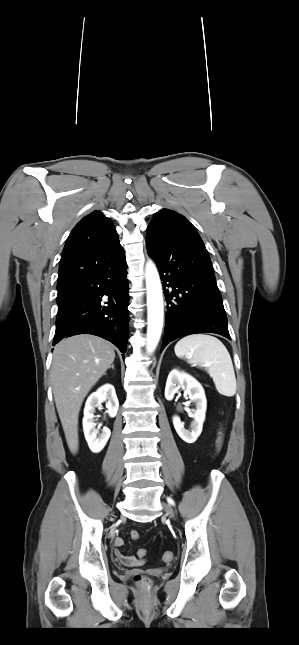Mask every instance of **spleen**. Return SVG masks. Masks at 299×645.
Segmentation results:
<instances>
[{
    "mask_svg": "<svg viewBox=\"0 0 299 645\" xmlns=\"http://www.w3.org/2000/svg\"><path fill=\"white\" fill-rule=\"evenodd\" d=\"M177 357L206 366L217 391L232 397L236 393V378L230 354L224 344L214 336L192 334L183 337L174 347Z\"/></svg>",
    "mask_w": 299,
    "mask_h": 645,
    "instance_id": "spleen-1",
    "label": "spleen"
}]
</instances>
